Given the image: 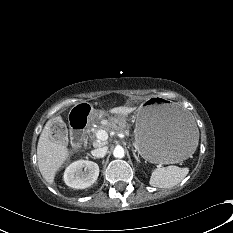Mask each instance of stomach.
I'll use <instances>...</instances> for the list:
<instances>
[{
	"instance_id": "0dacf381",
	"label": "stomach",
	"mask_w": 233,
	"mask_h": 233,
	"mask_svg": "<svg viewBox=\"0 0 233 233\" xmlns=\"http://www.w3.org/2000/svg\"><path fill=\"white\" fill-rule=\"evenodd\" d=\"M134 120V146L146 161L177 163L198 147L199 131L194 116L175 102L150 99L140 106Z\"/></svg>"
}]
</instances>
